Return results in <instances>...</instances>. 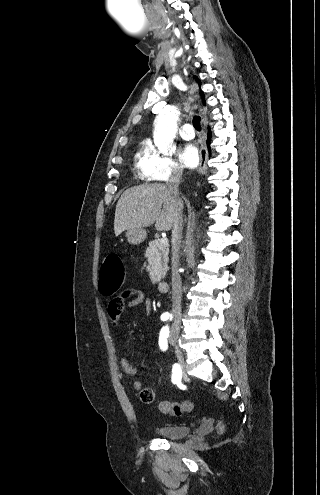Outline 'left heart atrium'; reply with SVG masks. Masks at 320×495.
Returning a JSON list of instances; mask_svg holds the SVG:
<instances>
[{"mask_svg":"<svg viewBox=\"0 0 320 495\" xmlns=\"http://www.w3.org/2000/svg\"><path fill=\"white\" fill-rule=\"evenodd\" d=\"M179 157L182 163L189 168L196 167L199 162L198 150L192 144L182 147Z\"/></svg>","mask_w":320,"mask_h":495,"instance_id":"1","label":"left heart atrium"}]
</instances>
